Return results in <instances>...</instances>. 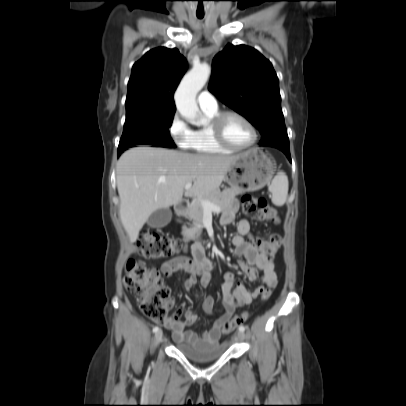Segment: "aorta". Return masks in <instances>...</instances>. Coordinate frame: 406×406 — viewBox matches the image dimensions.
I'll use <instances>...</instances> for the list:
<instances>
[{
	"mask_svg": "<svg viewBox=\"0 0 406 406\" xmlns=\"http://www.w3.org/2000/svg\"><path fill=\"white\" fill-rule=\"evenodd\" d=\"M211 73L207 64L195 65L182 79L175 92V104L179 113L190 123L200 125L204 118L200 115L196 95L206 84Z\"/></svg>",
	"mask_w": 406,
	"mask_h": 406,
	"instance_id": "1",
	"label": "aorta"
}]
</instances>
